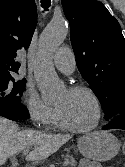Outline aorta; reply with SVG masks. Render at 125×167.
<instances>
[{
    "instance_id": "1",
    "label": "aorta",
    "mask_w": 125,
    "mask_h": 167,
    "mask_svg": "<svg viewBox=\"0 0 125 167\" xmlns=\"http://www.w3.org/2000/svg\"><path fill=\"white\" fill-rule=\"evenodd\" d=\"M67 32V24L60 18L52 20L40 36L35 78L45 103L54 102L63 90V85L51 62V55L63 43Z\"/></svg>"
}]
</instances>
